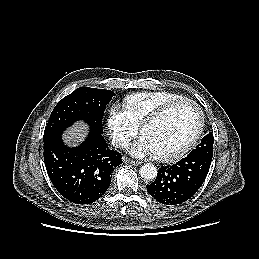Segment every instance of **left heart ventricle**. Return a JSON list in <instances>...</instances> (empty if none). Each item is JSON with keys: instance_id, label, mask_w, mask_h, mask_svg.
<instances>
[{"instance_id": "1", "label": "left heart ventricle", "mask_w": 259, "mask_h": 259, "mask_svg": "<svg viewBox=\"0 0 259 259\" xmlns=\"http://www.w3.org/2000/svg\"><path fill=\"white\" fill-rule=\"evenodd\" d=\"M199 123L196 109L180 105L143 131L155 154L171 153L183 146L195 133Z\"/></svg>"}]
</instances>
